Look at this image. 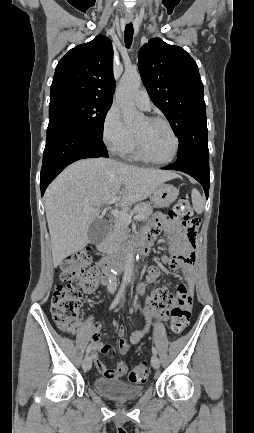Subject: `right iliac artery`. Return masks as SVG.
<instances>
[{
  "mask_svg": "<svg viewBox=\"0 0 254 433\" xmlns=\"http://www.w3.org/2000/svg\"><path fill=\"white\" fill-rule=\"evenodd\" d=\"M125 286H126L125 283L121 284L120 289L118 291V294L116 295L115 299L113 300V302H112V304L110 306V310L113 309L119 303V301H120V299H121V297H122V295L124 293ZM90 352H91V346L89 345L87 347V350H86V356H88Z\"/></svg>",
  "mask_w": 254,
  "mask_h": 433,
  "instance_id": "right-iliac-artery-1",
  "label": "right iliac artery"
}]
</instances>
